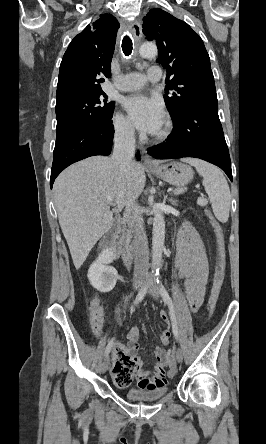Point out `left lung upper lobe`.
<instances>
[{
  "instance_id": "1",
  "label": "left lung upper lobe",
  "mask_w": 266,
  "mask_h": 444,
  "mask_svg": "<svg viewBox=\"0 0 266 444\" xmlns=\"http://www.w3.org/2000/svg\"><path fill=\"white\" fill-rule=\"evenodd\" d=\"M143 32L156 41V61L167 69L164 99L172 120L196 104L218 103L209 55L187 23L155 8L143 18Z\"/></svg>"
}]
</instances>
